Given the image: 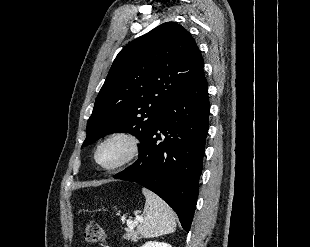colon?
<instances>
[{"label":"colon","instance_id":"5ec220e1","mask_svg":"<svg viewBox=\"0 0 310 247\" xmlns=\"http://www.w3.org/2000/svg\"><path fill=\"white\" fill-rule=\"evenodd\" d=\"M84 236L86 241L90 243H100L104 240L105 234L100 224L89 221L86 224Z\"/></svg>","mask_w":310,"mask_h":247}]
</instances>
